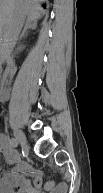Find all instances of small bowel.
<instances>
[{"label":"small bowel","mask_w":103,"mask_h":193,"mask_svg":"<svg viewBox=\"0 0 103 193\" xmlns=\"http://www.w3.org/2000/svg\"><path fill=\"white\" fill-rule=\"evenodd\" d=\"M0 152L6 163L12 165L2 175L0 193H66L67 186L64 183L48 181L43 184L42 171L32 163L20 160L4 135L0 137Z\"/></svg>","instance_id":"obj_1"}]
</instances>
